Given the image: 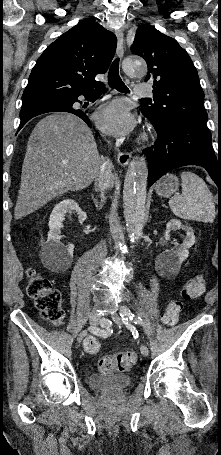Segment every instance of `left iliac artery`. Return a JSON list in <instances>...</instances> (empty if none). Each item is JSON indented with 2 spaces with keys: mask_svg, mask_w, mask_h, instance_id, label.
I'll list each match as a JSON object with an SVG mask.
<instances>
[{
  "mask_svg": "<svg viewBox=\"0 0 221 455\" xmlns=\"http://www.w3.org/2000/svg\"><path fill=\"white\" fill-rule=\"evenodd\" d=\"M120 315L122 317V321L125 324H128L130 321H133L135 324H142V319L132 314L131 311L126 306H122L120 310Z\"/></svg>",
  "mask_w": 221,
  "mask_h": 455,
  "instance_id": "1",
  "label": "left iliac artery"
}]
</instances>
